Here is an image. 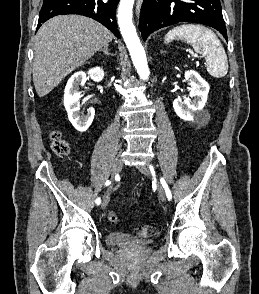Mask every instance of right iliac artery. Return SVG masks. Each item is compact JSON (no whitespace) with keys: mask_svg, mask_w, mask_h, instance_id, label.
<instances>
[{"mask_svg":"<svg viewBox=\"0 0 259 294\" xmlns=\"http://www.w3.org/2000/svg\"><path fill=\"white\" fill-rule=\"evenodd\" d=\"M117 177H118V175H117ZM111 182L109 181V180H107L106 182H105V185L107 186V185H109ZM101 203V199L98 197L97 199H96V204L97 205H99Z\"/></svg>","mask_w":259,"mask_h":294,"instance_id":"right-iliac-artery-1","label":"right iliac artery"}]
</instances>
